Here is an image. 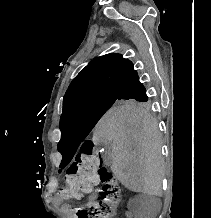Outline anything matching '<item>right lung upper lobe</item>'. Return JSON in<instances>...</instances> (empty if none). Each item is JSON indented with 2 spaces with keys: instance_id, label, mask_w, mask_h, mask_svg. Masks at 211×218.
<instances>
[{
  "instance_id": "1",
  "label": "right lung upper lobe",
  "mask_w": 211,
  "mask_h": 218,
  "mask_svg": "<svg viewBox=\"0 0 211 218\" xmlns=\"http://www.w3.org/2000/svg\"><path fill=\"white\" fill-rule=\"evenodd\" d=\"M137 75L131 61L120 54H107L92 60L71 82L63 99V111L91 99L128 98L121 92Z\"/></svg>"
}]
</instances>
